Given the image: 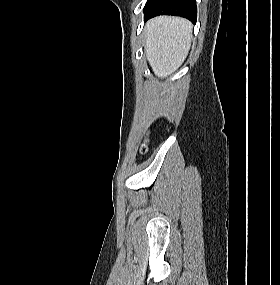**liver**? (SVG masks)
Returning a JSON list of instances; mask_svg holds the SVG:
<instances>
[{"mask_svg":"<svg viewBox=\"0 0 280 285\" xmlns=\"http://www.w3.org/2000/svg\"><path fill=\"white\" fill-rule=\"evenodd\" d=\"M144 37L145 54L154 74L165 78L184 62L192 39V25L183 18L160 16L148 21Z\"/></svg>","mask_w":280,"mask_h":285,"instance_id":"liver-1","label":"liver"}]
</instances>
